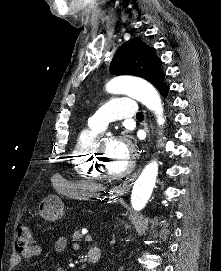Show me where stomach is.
I'll return each mask as SVG.
<instances>
[{
	"label": "stomach",
	"instance_id": "stomach-1",
	"mask_svg": "<svg viewBox=\"0 0 221 271\" xmlns=\"http://www.w3.org/2000/svg\"><path fill=\"white\" fill-rule=\"evenodd\" d=\"M112 197L113 201H117L118 197H116L115 191H113ZM39 213L44 219H49V221L62 217L64 203H62L61 197H44L43 207H41Z\"/></svg>",
	"mask_w": 221,
	"mask_h": 271
}]
</instances>
